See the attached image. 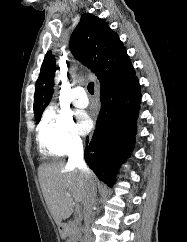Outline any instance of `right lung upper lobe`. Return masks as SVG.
Segmentation results:
<instances>
[{
	"label": "right lung upper lobe",
	"instance_id": "cb5924a9",
	"mask_svg": "<svg viewBox=\"0 0 187 242\" xmlns=\"http://www.w3.org/2000/svg\"><path fill=\"white\" fill-rule=\"evenodd\" d=\"M70 50L100 81V88L122 81L135 73L119 36L103 19L83 14L71 35ZM56 64L51 51L43 61L34 94L35 117L49 104L54 86Z\"/></svg>",
	"mask_w": 187,
	"mask_h": 242
}]
</instances>
